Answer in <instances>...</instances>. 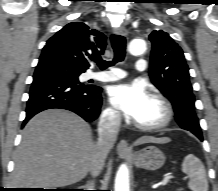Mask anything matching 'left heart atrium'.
Segmentation results:
<instances>
[{
	"instance_id": "left-heart-atrium-1",
	"label": "left heart atrium",
	"mask_w": 218,
	"mask_h": 191,
	"mask_svg": "<svg viewBox=\"0 0 218 191\" xmlns=\"http://www.w3.org/2000/svg\"><path fill=\"white\" fill-rule=\"evenodd\" d=\"M149 99L150 94L141 82L119 84L109 91L110 103L135 121Z\"/></svg>"
}]
</instances>
